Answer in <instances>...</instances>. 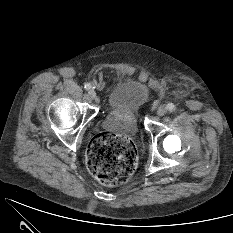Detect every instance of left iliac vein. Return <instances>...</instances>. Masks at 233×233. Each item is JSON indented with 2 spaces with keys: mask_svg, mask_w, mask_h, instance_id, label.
<instances>
[{
  "mask_svg": "<svg viewBox=\"0 0 233 233\" xmlns=\"http://www.w3.org/2000/svg\"><path fill=\"white\" fill-rule=\"evenodd\" d=\"M167 113V107L165 105H161L159 106L158 110H157V114L159 116H163Z\"/></svg>",
  "mask_w": 233,
  "mask_h": 233,
  "instance_id": "left-iliac-vein-1",
  "label": "left iliac vein"
}]
</instances>
